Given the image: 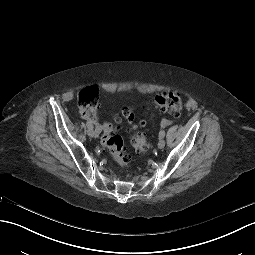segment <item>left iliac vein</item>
<instances>
[{"label": "left iliac vein", "mask_w": 255, "mask_h": 255, "mask_svg": "<svg viewBox=\"0 0 255 255\" xmlns=\"http://www.w3.org/2000/svg\"><path fill=\"white\" fill-rule=\"evenodd\" d=\"M164 146H165V140L161 138L158 142V148L162 149L164 148Z\"/></svg>", "instance_id": "4c4485c4"}]
</instances>
